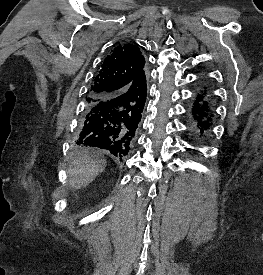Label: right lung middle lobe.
<instances>
[{"label":"right lung middle lobe","instance_id":"dd1d6c3e","mask_svg":"<svg viewBox=\"0 0 263 275\" xmlns=\"http://www.w3.org/2000/svg\"><path fill=\"white\" fill-rule=\"evenodd\" d=\"M86 102H87V105H91V104H93V103L95 102V98L89 96V97L86 98ZM77 148H78L79 150H82V149H83V148H81V147H77Z\"/></svg>","mask_w":263,"mask_h":275}]
</instances>
